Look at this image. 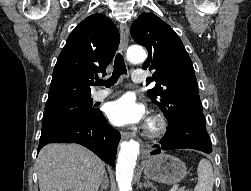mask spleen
Segmentation results:
<instances>
[{
    "label": "spleen",
    "mask_w": 251,
    "mask_h": 191,
    "mask_svg": "<svg viewBox=\"0 0 251 191\" xmlns=\"http://www.w3.org/2000/svg\"><path fill=\"white\" fill-rule=\"evenodd\" d=\"M214 183L213 167L209 159H200L198 163V183L194 191H212Z\"/></svg>",
    "instance_id": "1"
}]
</instances>
